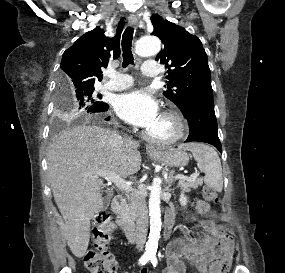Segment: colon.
I'll list each match as a JSON object with an SVG mask.
<instances>
[{
    "label": "colon",
    "instance_id": "1",
    "mask_svg": "<svg viewBox=\"0 0 285 273\" xmlns=\"http://www.w3.org/2000/svg\"><path fill=\"white\" fill-rule=\"evenodd\" d=\"M203 195L210 202L217 203L219 200L217 190L210 186L204 188ZM112 237L113 232L110 220L99 218L92 234L94 250H89L84 255V263L89 273L116 272V262L113 256L107 251Z\"/></svg>",
    "mask_w": 285,
    "mask_h": 273
}]
</instances>
